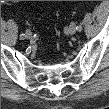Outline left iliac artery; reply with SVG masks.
<instances>
[{"label": "left iliac artery", "instance_id": "44dca946", "mask_svg": "<svg viewBox=\"0 0 109 109\" xmlns=\"http://www.w3.org/2000/svg\"><path fill=\"white\" fill-rule=\"evenodd\" d=\"M82 30V26L81 25H78L77 26V31H81Z\"/></svg>", "mask_w": 109, "mask_h": 109}]
</instances>
